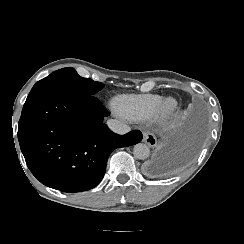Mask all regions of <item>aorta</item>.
Listing matches in <instances>:
<instances>
[{
    "label": "aorta",
    "mask_w": 244,
    "mask_h": 244,
    "mask_svg": "<svg viewBox=\"0 0 244 244\" xmlns=\"http://www.w3.org/2000/svg\"><path fill=\"white\" fill-rule=\"evenodd\" d=\"M134 157L140 160L147 159L150 155V149L146 144L138 143L133 149Z\"/></svg>",
    "instance_id": "762f6f07"
}]
</instances>
